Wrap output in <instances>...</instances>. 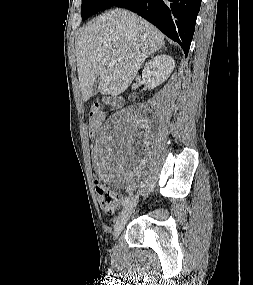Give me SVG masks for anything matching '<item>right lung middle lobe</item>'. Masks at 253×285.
<instances>
[{"label": "right lung middle lobe", "instance_id": "obj_1", "mask_svg": "<svg viewBox=\"0 0 253 285\" xmlns=\"http://www.w3.org/2000/svg\"><path fill=\"white\" fill-rule=\"evenodd\" d=\"M119 0H82V20L87 19L94 13L112 7Z\"/></svg>", "mask_w": 253, "mask_h": 285}]
</instances>
